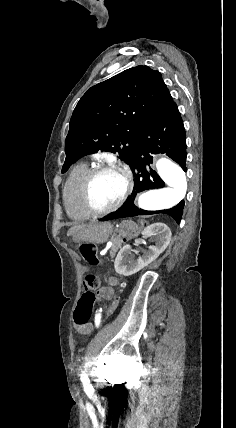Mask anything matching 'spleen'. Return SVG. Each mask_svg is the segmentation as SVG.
Returning a JSON list of instances; mask_svg holds the SVG:
<instances>
[{
    "label": "spleen",
    "mask_w": 236,
    "mask_h": 428,
    "mask_svg": "<svg viewBox=\"0 0 236 428\" xmlns=\"http://www.w3.org/2000/svg\"><path fill=\"white\" fill-rule=\"evenodd\" d=\"M121 228H124V230H133V232L139 230L137 224H134V222H122Z\"/></svg>",
    "instance_id": "3e777b00"
}]
</instances>
